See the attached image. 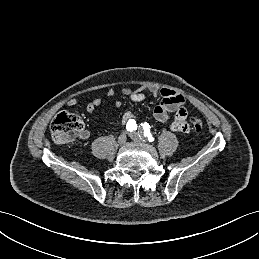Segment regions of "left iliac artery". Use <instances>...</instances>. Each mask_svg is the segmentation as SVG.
<instances>
[{"mask_svg": "<svg viewBox=\"0 0 259 259\" xmlns=\"http://www.w3.org/2000/svg\"><path fill=\"white\" fill-rule=\"evenodd\" d=\"M142 125V129L139 132V136L141 138H147L149 142H153L154 141V137L152 136L151 132H150V126L147 122L141 124Z\"/></svg>", "mask_w": 259, "mask_h": 259, "instance_id": "left-iliac-artery-1", "label": "left iliac artery"}]
</instances>
